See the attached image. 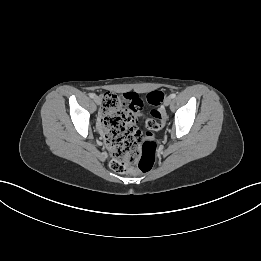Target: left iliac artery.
<instances>
[{
  "mask_svg": "<svg viewBox=\"0 0 261 261\" xmlns=\"http://www.w3.org/2000/svg\"><path fill=\"white\" fill-rule=\"evenodd\" d=\"M170 97H171V98H175V97H176V94H175V93H172V94L170 95Z\"/></svg>",
  "mask_w": 261,
  "mask_h": 261,
  "instance_id": "44dca946",
  "label": "left iliac artery"
}]
</instances>
